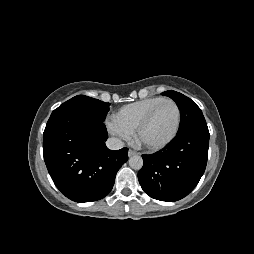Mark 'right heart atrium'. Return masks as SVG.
<instances>
[{"label": "right heart atrium", "mask_w": 254, "mask_h": 254, "mask_svg": "<svg viewBox=\"0 0 254 254\" xmlns=\"http://www.w3.org/2000/svg\"><path fill=\"white\" fill-rule=\"evenodd\" d=\"M106 128L111 135L120 141H130L133 137V131L123 126L115 117L106 121Z\"/></svg>", "instance_id": "d8ad5b80"}]
</instances>
